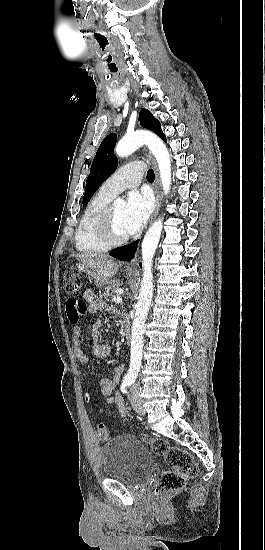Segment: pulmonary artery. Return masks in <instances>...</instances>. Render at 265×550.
I'll use <instances>...</instances> for the list:
<instances>
[{"label": "pulmonary artery", "instance_id": "pulmonary-artery-1", "mask_svg": "<svg viewBox=\"0 0 265 550\" xmlns=\"http://www.w3.org/2000/svg\"><path fill=\"white\" fill-rule=\"evenodd\" d=\"M144 163L134 161L121 166L101 186L107 194L115 197L128 188H134L141 182Z\"/></svg>", "mask_w": 265, "mask_h": 550}]
</instances>
